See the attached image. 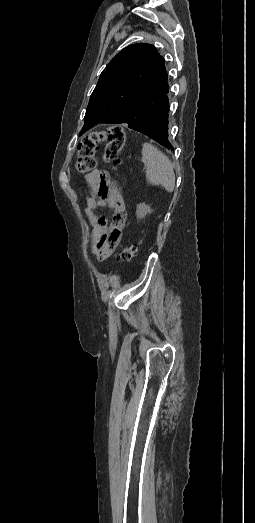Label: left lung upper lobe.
I'll return each mask as SVG.
<instances>
[{
    "mask_svg": "<svg viewBox=\"0 0 255 523\" xmlns=\"http://www.w3.org/2000/svg\"><path fill=\"white\" fill-rule=\"evenodd\" d=\"M168 92L164 59L156 48L143 43L130 45L101 73L80 135L97 123H126L134 130L153 125L168 116Z\"/></svg>",
    "mask_w": 255,
    "mask_h": 523,
    "instance_id": "1",
    "label": "left lung upper lobe"
}]
</instances>
